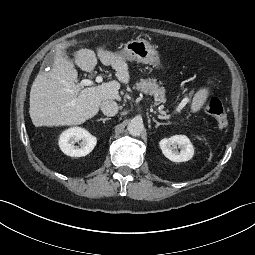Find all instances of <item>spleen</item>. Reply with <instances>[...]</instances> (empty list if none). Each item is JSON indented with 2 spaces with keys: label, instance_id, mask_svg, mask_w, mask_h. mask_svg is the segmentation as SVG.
Returning <instances> with one entry per match:
<instances>
[{
  "label": "spleen",
  "instance_id": "3e777b00",
  "mask_svg": "<svg viewBox=\"0 0 255 255\" xmlns=\"http://www.w3.org/2000/svg\"><path fill=\"white\" fill-rule=\"evenodd\" d=\"M207 93L208 92L206 89H201L195 94L191 104L192 112H197L201 109L202 105L204 104L206 100Z\"/></svg>",
  "mask_w": 255,
  "mask_h": 255
}]
</instances>
